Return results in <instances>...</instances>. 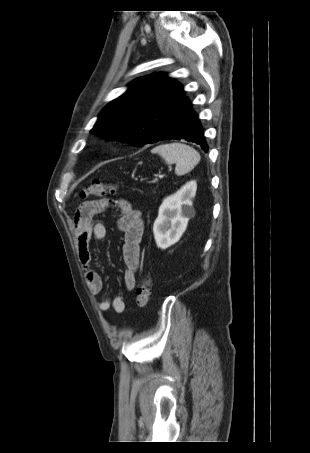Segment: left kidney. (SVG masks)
Returning <instances> with one entry per match:
<instances>
[{
    "label": "left kidney",
    "instance_id": "obj_1",
    "mask_svg": "<svg viewBox=\"0 0 310 453\" xmlns=\"http://www.w3.org/2000/svg\"><path fill=\"white\" fill-rule=\"evenodd\" d=\"M195 180L187 182L173 195L166 197L153 225V234L158 248L165 250L177 243L195 215L192 199L196 195Z\"/></svg>",
    "mask_w": 310,
    "mask_h": 453
}]
</instances>
